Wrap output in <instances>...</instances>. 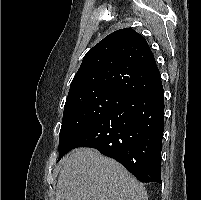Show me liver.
Here are the masks:
<instances>
[{
    "mask_svg": "<svg viewBox=\"0 0 201 200\" xmlns=\"http://www.w3.org/2000/svg\"><path fill=\"white\" fill-rule=\"evenodd\" d=\"M55 200H148L145 187L117 161L78 148L63 162Z\"/></svg>",
    "mask_w": 201,
    "mask_h": 200,
    "instance_id": "liver-1",
    "label": "liver"
}]
</instances>
